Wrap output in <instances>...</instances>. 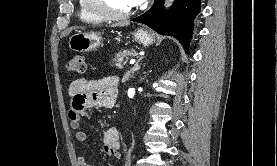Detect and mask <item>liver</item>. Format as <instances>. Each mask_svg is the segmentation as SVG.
<instances>
[{
	"mask_svg": "<svg viewBox=\"0 0 277 166\" xmlns=\"http://www.w3.org/2000/svg\"><path fill=\"white\" fill-rule=\"evenodd\" d=\"M129 24L130 23L128 21H126V22H121L118 24H113L112 27H117V26L124 27V26H128Z\"/></svg>",
	"mask_w": 277,
	"mask_h": 166,
	"instance_id": "liver-1",
	"label": "liver"
}]
</instances>
